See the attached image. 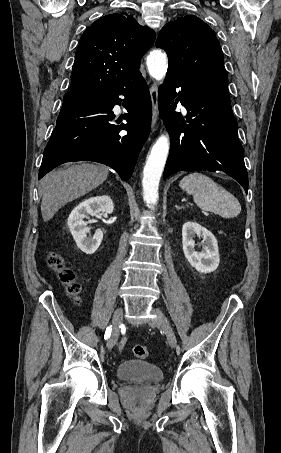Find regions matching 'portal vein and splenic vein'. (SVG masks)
<instances>
[{
  "label": "portal vein and splenic vein",
  "instance_id": "portal-vein-and-splenic-vein-1",
  "mask_svg": "<svg viewBox=\"0 0 281 453\" xmlns=\"http://www.w3.org/2000/svg\"><path fill=\"white\" fill-rule=\"evenodd\" d=\"M201 213H204L206 217L211 214L210 212H206V210H201Z\"/></svg>",
  "mask_w": 281,
  "mask_h": 453
}]
</instances>
